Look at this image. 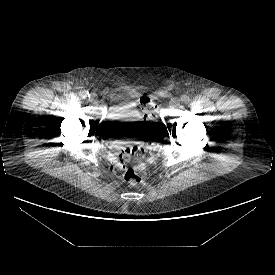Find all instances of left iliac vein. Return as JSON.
<instances>
[{"label": "left iliac vein", "instance_id": "1", "mask_svg": "<svg viewBox=\"0 0 275 275\" xmlns=\"http://www.w3.org/2000/svg\"><path fill=\"white\" fill-rule=\"evenodd\" d=\"M180 105V99H178V98H172L171 100H170V107L171 108H176V107H178Z\"/></svg>", "mask_w": 275, "mask_h": 275}]
</instances>
